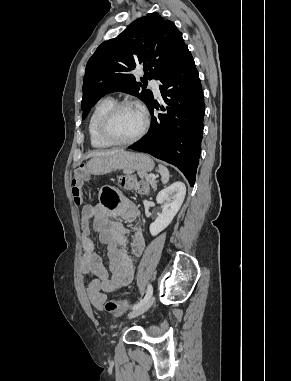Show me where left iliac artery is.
Here are the masks:
<instances>
[{"label": "left iliac artery", "mask_w": 291, "mask_h": 381, "mask_svg": "<svg viewBox=\"0 0 291 381\" xmlns=\"http://www.w3.org/2000/svg\"><path fill=\"white\" fill-rule=\"evenodd\" d=\"M152 293H153V287L151 284H149L146 294L141 298V300L139 302H137L135 305H133L132 309H136L140 305H142L147 299H149L152 296Z\"/></svg>", "instance_id": "44dca946"}]
</instances>
